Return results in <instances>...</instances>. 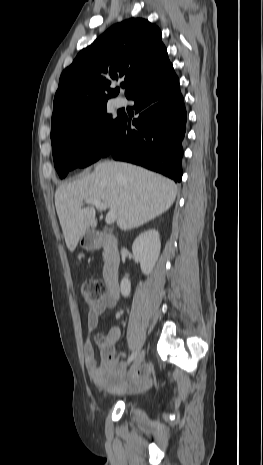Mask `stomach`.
I'll list each match as a JSON object with an SVG mask.
<instances>
[{"instance_id":"0dacf381","label":"stomach","mask_w":263,"mask_h":465,"mask_svg":"<svg viewBox=\"0 0 263 465\" xmlns=\"http://www.w3.org/2000/svg\"><path fill=\"white\" fill-rule=\"evenodd\" d=\"M98 245L97 236L95 233L87 231L80 238V246L86 250L95 249Z\"/></svg>"}]
</instances>
